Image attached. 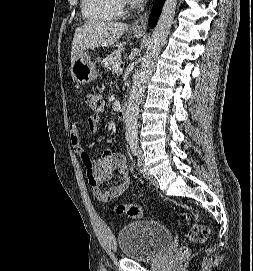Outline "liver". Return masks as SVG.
<instances>
[{
	"label": "liver",
	"mask_w": 253,
	"mask_h": 271,
	"mask_svg": "<svg viewBox=\"0 0 253 271\" xmlns=\"http://www.w3.org/2000/svg\"><path fill=\"white\" fill-rule=\"evenodd\" d=\"M128 30L122 22L87 23L76 29L72 41L71 63L87 49L109 47Z\"/></svg>",
	"instance_id": "6515ba94"
}]
</instances>
